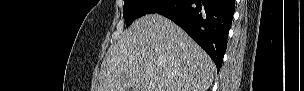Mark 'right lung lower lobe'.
I'll return each instance as SVG.
<instances>
[{
	"label": "right lung lower lobe",
	"mask_w": 304,
	"mask_h": 91,
	"mask_svg": "<svg viewBox=\"0 0 304 91\" xmlns=\"http://www.w3.org/2000/svg\"><path fill=\"white\" fill-rule=\"evenodd\" d=\"M234 11V0H164L150 13L161 14L179 25L209 54L219 71Z\"/></svg>",
	"instance_id": "right-lung-lower-lobe-1"
}]
</instances>
